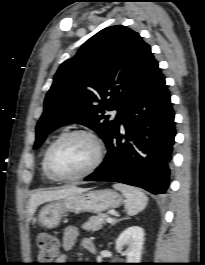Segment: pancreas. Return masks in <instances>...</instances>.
I'll return each mask as SVG.
<instances>
[{"mask_svg":"<svg viewBox=\"0 0 205 265\" xmlns=\"http://www.w3.org/2000/svg\"><path fill=\"white\" fill-rule=\"evenodd\" d=\"M107 214L99 213L96 216H91L87 222L82 225V228L87 231H97L104 224Z\"/></svg>","mask_w":205,"mask_h":265,"instance_id":"pancreas-1","label":"pancreas"}]
</instances>
